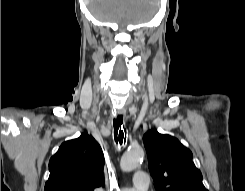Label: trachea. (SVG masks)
<instances>
[{
	"label": "trachea",
	"mask_w": 245,
	"mask_h": 191,
	"mask_svg": "<svg viewBox=\"0 0 245 191\" xmlns=\"http://www.w3.org/2000/svg\"><path fill=\"white\" fill-rule=\"evenodd\" d=\"M122 118V115H118V117L113 120L115 141L116 143L119 142L120 145H122L123 142L125 143L127 138V131Z\"/></svg>",
	"instance_id": "3493384b"
}]
</instances>
